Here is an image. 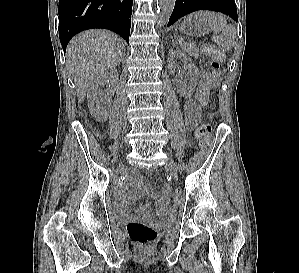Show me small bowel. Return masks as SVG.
<instances>
[{
	"label": "small bowel",
	"instance_id": "1",
	"mask_svg": "<svg viewBox=\"0 0 299 273\" xmlns=\"http://www.w3.org/2000/svg\"><path fill=\"white\" fill-rule=\"evenodd\" d=\"M185 114L187 119V124L190 128H194L198 122L199 117L194 112V105L192 101H187L185 104ZM170 187L165 185L157 193H153L150 187L145 184L140 176H133L126 189L122 190L118 197V203L120 212L122 215H128L127 204L134 202L143 195L152 196L157 203V213L158 217L164 220L172 219L175 215L174 210L168 206V198L170 194ZM135 218L139 219H151L150 207L148 205H141L135 215Z\"/></svg>",
	"mask_w": 299,
	"mask_h": 273
}]
</instances>
